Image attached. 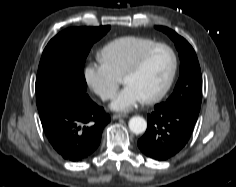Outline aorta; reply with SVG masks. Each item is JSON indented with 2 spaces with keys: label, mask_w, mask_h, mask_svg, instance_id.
I'll return each instance as SVG.
<instances>
[{
  "label": "aorta",
  "mask_w": 236,
  "mask_h": 187,
  "mask_svg": "<svg viewBox=\"0 0 236 187\" xmlns=\"http://www.w3.org/2000/svg\"><path fill=\"white\" fill-rule=\"evenodd\" d=\"M129 129L135 134H141L146 131L147 122L143 117L134 116L129 120Z\"/></svg>",
  "instance_id": "obj_1"
}]
</instances>
